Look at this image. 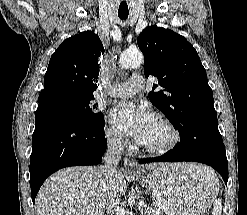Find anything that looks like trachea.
<instances>
[{
  "instance_id": "trachea-1",
  "label": "trachea",
  "mask_w": 247,
  "mask_h": 215,
  "mask_svg": "<svg viewBox=\"0 0 247 215\" xmlns=\"http://www.w3.org/2000/svg\"><path fill=\"white\" fill-rule=\"evenodd\" d=\"M120 19H126L128 17V13H118Z\"/></svg>"
}]
</instances>
